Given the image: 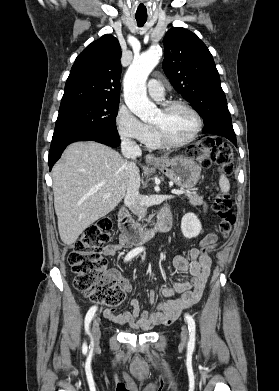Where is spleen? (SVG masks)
Listing matches in <instances>:
<instances>
[{
	"label": "spleen",
	"instance_id": "obj_1",
	"mask_svg": "<svg viewBox=\"0 0 279 391\" xmlns=\"http://www.w3.org/2000/svg\"><path fill=\"white\" fill-rule=\"evenodd\" d=\"M219 186L222 192H228L230 189L229 180L225 175H221L219 179Z\"/></svg>",
	"mask_w": 279,
	"mask_h": 391
}]
</instances>
